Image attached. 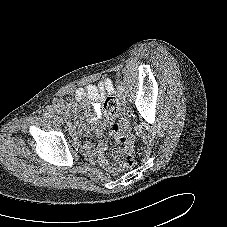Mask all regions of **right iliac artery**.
Returning <instances> with one entry per match:
<instances>
[{
	"label": "right iliac artery",
	"instance_id": "82829eb1",
	"mask_svg": "<svg viewBox=\"0 0 227 227\" xmlns=\"http://www.w3.org/2000/svg\"><path fill=\"white\" fill-rule=\"evenodd\" d=\"M44 117H45V118H51V117H53V116H52L51 113H45V114H44Z\"/></svg>",
	"mask_w": 227,
	"mask_h": 227
}]
</instances>
